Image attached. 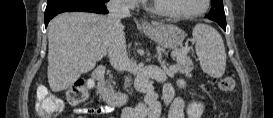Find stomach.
<instances>
[{"label":"stomach","mask_w":273,"mask_h":118,"mask_svg":"<svg viewBox=\"0 0 273 118\" xmlns=\"http://www.w3.org/2000/svg\"><path fill=\"white\" fill-rule=\"evenodd\" d=\"M143 30L154 42L168 49L180 46L186 36L182 29L172 24H152Z\"/></svg>","instance_id":"stomach-1"}]
</instances>
